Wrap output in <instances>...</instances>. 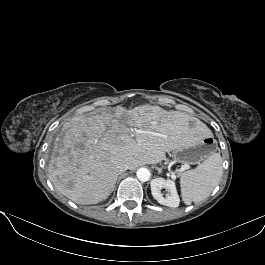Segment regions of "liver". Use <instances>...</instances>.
<instances>
[{
	"mask_svg": "<svg viewBox=\"0 0 265 265\" xmlns=\"http://www.w3.org/2000/svg\"><path fill=\"white\" fill-rule=\"evenodd\" d=\"M48 173L54 187L71 201L97 204L112 193L118 166L156 164L165 153L209 133L200 120L159 106L116 107L63 124Z\"/></svg>",
	"mask_w": 265,
	"mask_h": 265,
	"instance_id": "obj_1",
	"label": "liver"
}]
</instances>
